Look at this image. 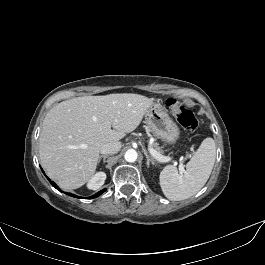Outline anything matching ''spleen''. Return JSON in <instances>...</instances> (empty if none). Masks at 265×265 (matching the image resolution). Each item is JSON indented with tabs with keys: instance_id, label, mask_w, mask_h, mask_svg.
<instances>
[{
	"instance_id": "3e777b00",
	"label": "spleen",
	"mask_w": 265,
	"mask_h": 265,
	"mask_svg": "<svg viewBox=\"0 0 265 265\" xmlns=\"http://www.w3.org/2000/svg\"><path fill=\"white\" fill-rule=\"evenodd\" d=\"M215 158V141L208 137L203 140L186 164L184 173H179L175 166H166L159 177L164 195L169 200L178 201L190 198L196 194L209 179Z\"/></svg>"
}]
</instances>
